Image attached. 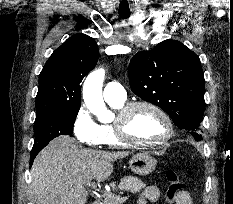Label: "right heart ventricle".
<instances>
[{
    "mask_svg": "<svg viewBox=\"0 0 233 204\" xmlns=\"http://www.w3.org/2000/svg\"><path fill=\"white\" fill-rule=\"evenodd\" d=\"M109 105L116 109L120 110L124 105L125 101L123 102H108ZM100 133H101V144L106 145L109 147H119L123 146V144L117 137L114 123H104L100 125Z\"/></svg>",
    "mask_w": 233,
    "mask_h": 204,
    "instance_id": "e07e8e85",
    "label": "right heart ventricle"
}]
</instances>
